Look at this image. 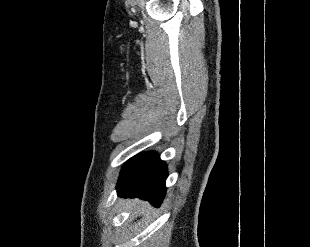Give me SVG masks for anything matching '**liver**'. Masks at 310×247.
Returning a JSON list of instances; mask_svg holds the SVG:
<instances>
[{"instance_id":"6515ba94","label":"liver","mask_w":310,"mask_h":247,"mask_svg":"<svg viewBox=\"0 0 310 247\" xmlns=\"http://www.w3.org/2000/svg\"><path fill=\"white\" fill-rule=\"evenodd\" d=\"M132 203H133V204H135V203H139V201H138V200H133V201H132ZM146 212H148V210H147V209H146Z\"/></svg>"}]
</instances>
